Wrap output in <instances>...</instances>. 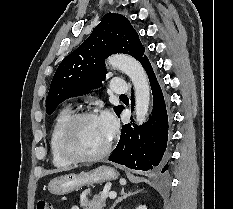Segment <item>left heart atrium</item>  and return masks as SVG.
Instances as JSON below:
<instances>
[{
  "label": "left heart atrium",
  "instance_id": "obj_1",
  "mask_svg": "<svg viewBox=\"0 0 233 209\" xmlns=\"http://www.w3.org/2000/svg\"><path fill=\"white\" fill-rule=\"evenodd\" d=\"M98 118L106 135L108 138H111L117 127L114 116L111 113L105 111Z\"/></svg>",
  "mask_w": 233,
  "mask_h": 209
}]
</instances>
